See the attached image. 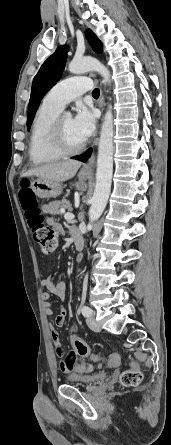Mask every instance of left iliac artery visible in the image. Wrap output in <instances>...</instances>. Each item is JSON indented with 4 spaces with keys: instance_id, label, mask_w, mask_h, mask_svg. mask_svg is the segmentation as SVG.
Segmentation results:
<instances>
[{
    "instance_id": "44dca946",
    "label": "left iliac artery",
    "mask_w": 171,
    "mask_h": 445,
    "mask_svg": "<svg viewBox=\"0 0 171 445\" xmlns=\"http://www.w3.org/2000/svg\"><path fill=\"white\" fill-rule=\"evenodd\" d=\"M81 311H82L83 316H85V317H89L92 314V310L86 305H84L82 307Z\"/></svg>"
}]
</instances>
